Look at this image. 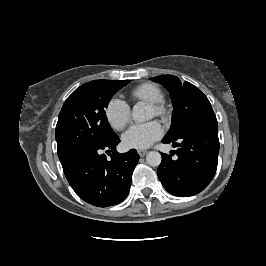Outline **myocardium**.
Here are the masks:
<instances>
[{
    "mask_svg": "<svg viewBox=\"0 0 266 266\" xmlns=\"http://www.w3.org/2000/svg\"><path fill=\"white\" fill-rule=\"evenodd\" d=\"M150 107L154 109L155 116H159L163 119H167L170 116V106L164 99L150 103Z\"/></svg>",
    "mask_w": 266,
    "mask_h": 266,
    "instance_id": "1",
    "label": "myocardium"
}]
</instances>
